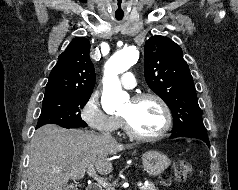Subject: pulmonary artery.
I'll return each instance as SVG.
<instances>
[{"instance_id": "e3ab8cb5", "label": "pulmonary artery", "mask_w": 238, "mask_h": 190, "mask_svg": "<svg viewBox=\"0 0 238 190\" xmlns=\"http://www.w3.org/2000/svg\"><path fill=\"white\" fill-rule=\"evenodd\" d=\"M121 84L126 89H132L136 86V79L132 72H126L121 77Z\"/></svg>"}]
</instances>
